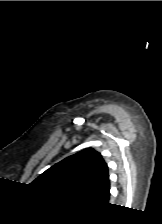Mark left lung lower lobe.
<instances>
[{"mask_svg":"<svg viewBox=\"0 0 162 224\" xmlns=\"http://www.w3.org/2000/svg\"><path fill=\"white\" fill-rule=\"evenodd\" d=\"M110 195V184L109 180H107L99 190L90 195L87 200L100 203V204H108Z\"/></svg>","mask_w":162,"mask_h":224,"instance_id":"obj_1","label":"left lung lower lobe"}]
</instances>
